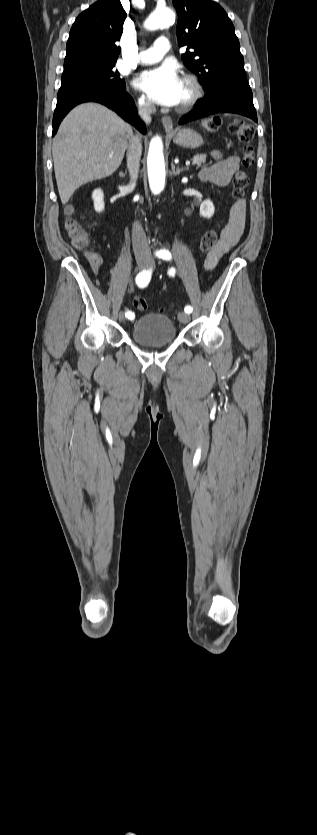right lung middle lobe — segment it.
I'll use <instances>...</instances> for the list:
<instances>
[{
	"label": "right lung middle lobe",
	"instance_id": "dd1d6c3e",
	"mask_svg": "<svg viewBox=\"0 0 317 835\" xmlns=\"http://www.w3.org/2000/svg\"><path fill=\"white\" fill-rule=\"evenodd\" d=\"M115 63L94 60H73L64 62L62 83L58 98L77 91L95 87L126 89L125 81L114 70Z\"/></svg>",
	"mask_w": 317,
	"mask_h": 835
}]
</instances>
